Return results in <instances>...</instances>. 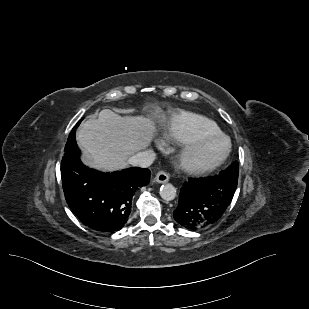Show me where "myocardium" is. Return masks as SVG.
I'll list each match as a JSON object with an SVG mask.
<instances>
[{
    "mask_svg": "<svg viewBox=\"0 0 309 309\" xmlns=\"http://www.w3.org/2000/svg\"><path fill=\"white\" fill-rule=\"evenodd\" d=\"M213 141H223L225 143L224 151L215 159L209 162H199L194 159L196 153L207 143ZM231 152L230 140L221 133L202 134L182 144L177 153V158L181 168L190 174H206L221 166Z\"/></svg>",
    "mask_w": 309,
    "mask_h": 309,
    "instance_id": "f54148a6",
    "label": "myocardium"
}]
</instances>
